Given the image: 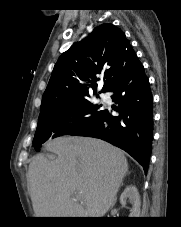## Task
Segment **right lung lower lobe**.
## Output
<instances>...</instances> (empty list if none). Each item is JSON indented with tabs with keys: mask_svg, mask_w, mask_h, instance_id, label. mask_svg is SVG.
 I'll return each instance as SVG.
<instances>
[{
	"mask_svg": "<svg viewBox=\"0 0 181 227\" xmlns=\"http://www.w3.org/2000/svg\"><path fill=\"white\" fill-rule=\"evenodd\" d=\"M108 91L119 105L118 116L104 110L97 122L75 135L103 139L125 150L147 171L153 140V97L148 77L137 56L126 64Z\"/></svg>",
	"mask_w": 181,
	"mask_h": 227,
	"instance_id": "1",
	"label": "right lung lower lobe"
}]
</instances>
